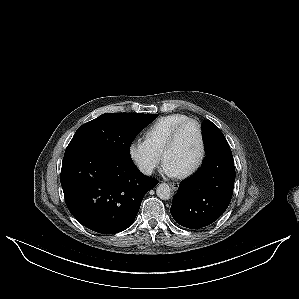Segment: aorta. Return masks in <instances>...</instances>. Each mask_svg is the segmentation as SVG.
Segmentation results:
<instances>
[{"label": "aorta", "instance_id": "1", "mask_svg": "<svg viewBox=\"0 0 299 299\" xmlns=\"http://www.w3.org/2000/svg\"><path fill=\"white\" fill-rule=\"evenodd\" d=\"M156 193H157L158 197L163 200H167L172 196V190H171L170 186L165 183L160 184L157 187Z\"/></svg>", "mask_w": 299, "mask_h": 299}]
</instances>
